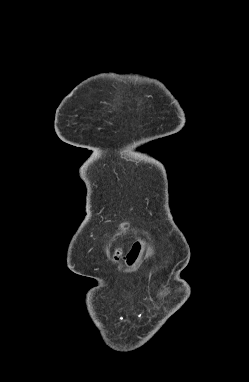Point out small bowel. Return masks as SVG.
<instances>
[{"mask_svg": "<svg viewBox=\"0 0 249 382\" xmlns=\"http://www.w3.org/2000/svg\"><path fill=\"white\" fill-rule=\"evenodd\" d=\"M143 248V243L142 242H135L133 246V252H127L126 253V258L128 261H132L133 259H138L140 257V254L137 252H141ZM120 252H117L116 258L120 257Z\"/></svg>", "mask_w": 249, "mask_h": 382, "instance_id": "obj_1", "label": "small bowel"}]
</instances>
